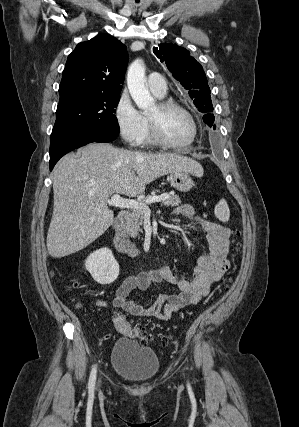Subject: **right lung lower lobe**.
<instances>
[{"label":"right lung lower lobe","mask_w":299,"mask_h":427,"mask_svg":"<svg viewBox=\"0 0 299 427\" xmlns=\"http://www.w3.org/2000/svg\"><path fill=\"white\" fill-rule=\"evenodd\" d=\"M116 137L117 134L114 133L76 131L60 135L50 140V171L57 161L66 153L91 142H111L115 140Z\"/></svg>","instance_id":"obj_1"}]
</instances>
